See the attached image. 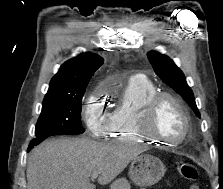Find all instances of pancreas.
<instances>
[{
  "instance_id": "1",
  "label": "pancreas",
  "mask_w": 223,
  "mask_h": 189,
  "mask_svg": "<svg viewBox=\"0 0 223 189\" xmlns=\"http://www.w3.org/2000/svg\"><path fill=\"white\" fill-rule=\"evenodd\" d=\"M113 189H130V184L125 179H121L113 184Z\"/></svg>"
}]
</instances>
